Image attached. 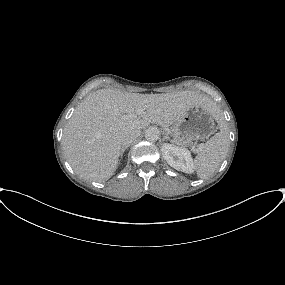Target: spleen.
Listing matches in <instances>:
<instances>
[{"mask_svg":"<svg viewBox=\"0 0 285 285\" xmlns=\"http://www.w3.org/2000/svg\"><path fill=\"white\" fill-rule=\"evenodd\" d=\"M220 132L212 136L194 159V169L199 178H206L216 171L229 148V133L222 113L217 110Z\"/></svg>","mask_w":285,"mask_h":285,"instance_id":"1","label":"spleen"}]
</instances>
